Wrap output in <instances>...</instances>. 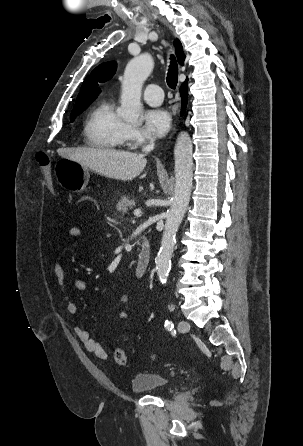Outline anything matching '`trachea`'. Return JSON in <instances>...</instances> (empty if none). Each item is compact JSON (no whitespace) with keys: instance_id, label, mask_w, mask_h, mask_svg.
<instances>
[{"instance_id":"trachea-1","label":"trachea","mask_w":303,"mask_h":446,"mask_svg":"<svg viewBox=\"0 0 303 446\" xmlns=\"http://www.w3.org/2000/svg\"><path fill=\"white\" fill-rule=\"evenodd\" d=\"M170 59H171V64L168 69L166 81L171 89H175L178 82V65L173 55L171 56Z\"/></svg>"}]
</instances>
